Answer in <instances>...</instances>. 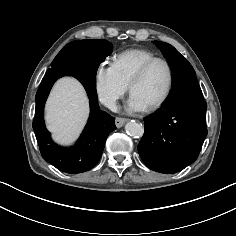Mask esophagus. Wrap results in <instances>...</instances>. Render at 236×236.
<instances>
[{"label": "esophagus", "mask_w": 236, "mask_h": 236, "mask_svg": "<svg viewBox=\"0 0 236 236\" xmlns=\"http://www.w3.org/2000/svg\"><path fill=\"white\" fill-rule=\"evenodd\" d=\"M128 119L126 118H121V117H117L116 120H115V124L117 126V128H121L125 122H127Z\"/></svg>", "instance_id": "34e87169"}]
</instances>
